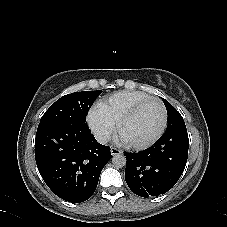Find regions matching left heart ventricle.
<instances>
[{
	"mask_svg": "<svg viewBox=\"0 0 227 227\" xmlns=\"http://www.w3.org/2000/svg\"><path fill=\"white\" fill-rule=\"evenodd\" d=\"M163 120L162 107L158 102L145 104L137 114L124 125L121 136L128 143H141L152 138L159 130Z\"/></svg>",
	"mask_w": 227,
	"mask_h": 227,
	"instance_id": "obj_1",
	"label": "left heart ventricle"
}]
</instances>
